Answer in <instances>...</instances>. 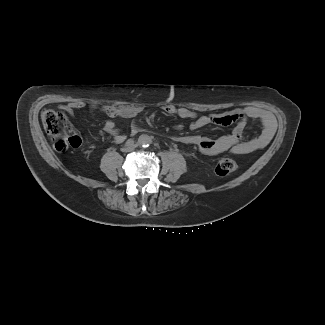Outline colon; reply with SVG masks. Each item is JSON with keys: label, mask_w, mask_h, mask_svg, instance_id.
<instances>
[{"label": "colon", "mask_w": 325, "mask_h": 325, "mask_svg": "<svg viewBox=\"0 0 325 325\" xmlns=\"http://www.w3.org/2000/svg\"><path fill=\"white\" fill-rule=\"evenodd\" d=\"M41 119L57 151H64L70 146L76 147L80 144L79 137L70 134V124L62 112L46 109L42 112ZM236 169L237 163L231 158H221L215 167L216 173L221 176L228 175Z\"/></svg>", "instance_id": "colon-1"}]
</instances>
